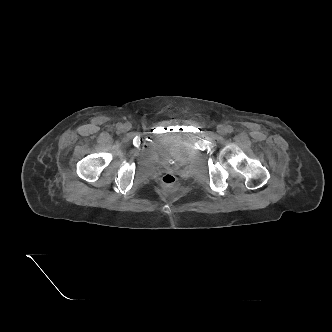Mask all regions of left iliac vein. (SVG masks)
Here are the masks:
<instances>
[{
    "mask_svg": "<svg viewBox=\"0 0 332 332\" xmlns=\"http://www.w3.org/2000/svg\"><path fill=\"white\" fill-rule=\"evenodd\" d=\"M217 132L221 135H225L227 133V129L223 125H218L217 126Z\"/></svg>",
    "mask_w": 332,
    "mask_h": 332,
    "instance_id": "obj_1",
    "label": "left iliac vein"
}]
</instances>
